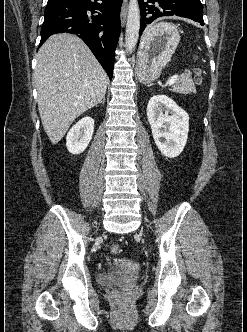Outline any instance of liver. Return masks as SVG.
<instances>
[{
	"instance_id": "6515ba94",
	"label": "liver",
	"mask_w": 247,
	"mask_h": 332,
	"mask_svg": "<svg viewBox=\"0 0 247 332\" xmlns=\"http://www.w3.org/2000/svg\"><path fill=\"white\" fill-rule=\"evenodd\" d=\"M34 81L43 128L57 144L77 117L100 103L108 76L80 38L63 33L39 49Z\"/></svg>"
}]
</instances>
